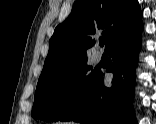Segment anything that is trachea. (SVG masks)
Segmentation results:
<instances>
[{"label": "trachea", "mask_w": 156, "mask_h": 124, "mask_svg": "<svg viewBox=\"0 0 156 124\" xmlns=\"http://www.w3.org/2000/svg\"><path fill=\"white\" fill-rule=\"evenodd\" d=\"M104 43H105L104 39H100V42H99L100 46H104Z\"/></svg>", "instance_id": "3493384b"}]
</instances>
